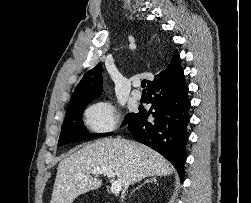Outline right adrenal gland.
Masks as SVG:
<instances>
[{
    "label": "right adrenal gland",
    "instance_id": "right-adrenal-gland-1",
    "mask_svg": "<svg viewBox=\"0 0 251 203\" xmlns=\"http://www.w3.org/2000/svg\"><path fill=\"white\" fill-rule=\"evenodd\" d=\"M156 177H153V178H150V179H147V180H145L142 184H140L136 189H134L133 191H132V193H131V195L136 191V190H138L139 188H141L143 185H145L146 183H149V182H154V183H156Z\"/></svg>",
    "mask_w": 251,
    "mask_h": 203
}]
</instances>
